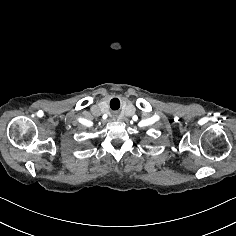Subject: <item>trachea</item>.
I'll use <instances>...</instances> for the list:
<instances>
[{
  "label": "trachea",
  "instance_id": "3493384b",
  "mask_svg": "<svg viewBox=\"0 0 236 236\" xmlns=\"http://www.w3.org/2000/svg\"><path fill=\"white\" fill-rule=\"evenodd\" d=\"M108 107L111 109V110H118L120 107H121V100L118 98V97H111L109 100H108Z\"/></svg>",
  "mask_w": 236,
  "mask_h": 236
}]
</instances>
